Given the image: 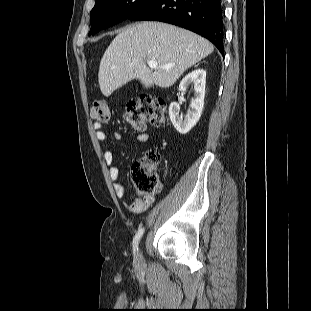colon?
<instances>
[{
  "label": "colon",
  "instance_id": "5ec220e1",
  "mask_svg": "<svg viewBox=\"0 0 311 311\" xmlns=\"http://www.w3.org/2000/svg\"><path fill=\"white\" fill-rule=\"evenodd\" d=\"M92 119L100 123L110 120V109L105 100H95L91 106ZM125 120L135 131H142L148 123L155 126L165 124V104L160 97L151 94L142 95L139 99L126 105ZM160 155L155 150H148L144 159L135 163L131 177L135 190L144 196H154L160 191L161 176L156 170Z\"/></svg>",
  "mask_w": 311,
  "mask_h": 311
}]
</instances>
